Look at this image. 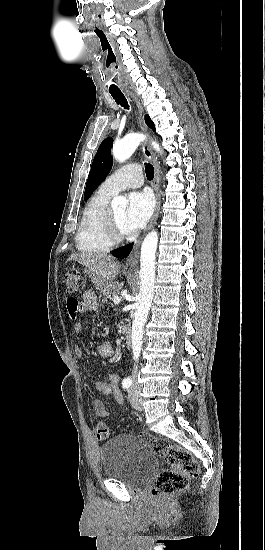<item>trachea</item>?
<instances>
[{
    "label": "trachea",
    "mask_w": 265,
    "mask_h": 550,
    "mask_svg": "<svg viewBox=\"0 0 265 550\" xmlns=\"http://www.w3.org/2000/svg\"><path fill=\"white\" fill-rule=\"evenodd\" d=\"M113 99L116 101L117 104H120L124 108L128 109V102L122 92H110ZM145 173L147 176V179L152 180L154 177V167L148 163L145 165Z\"/></svg>",
    "instance_id": "trachea-1"
}]
</instances>
